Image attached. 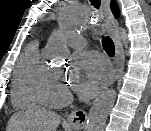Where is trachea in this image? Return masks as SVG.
<instances>
[{
	"mask_svg": "<svg viewBox=\"0 0 151 131\" xmlns=\"http://www.w3.org/2000/svg\"><path fill=\"white\" fill-rule=\"evenodd\" d=\"M90 2L91 5H93L95 8L100 7L101 0H90ZM102 46L109 56H113L115 54L114 43L112 39H110L108 36L102 38Z\"/></svg>",
	"mask_w": 151,
	"mask_h": 131,
	"instance_id": "obj_1",
	"label": "trachea"
}]
</instances>
